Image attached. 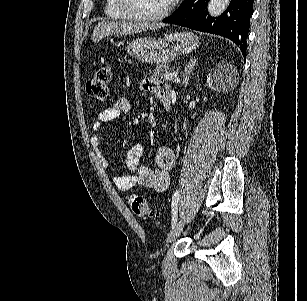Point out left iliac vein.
Here are the masks:
<instances>
[{
  "instance_id": "left-iliac-vein-1",
  "label": "left iliac vein",
  "mask_w": 307,
  "mask_h": 301,
  "mask_svg": "<svg viewBox=\"0 0 307 301\" xmlns=\"http://www.w3.org/2000/svg\"><path fill=\"white\" fill-rule=\"evenodd\" d=\"M187 217H188L187 214L181 216L179 221L175 224V226L169 232L168 238H167V242L169 244L175 242V240L180 236L181 232L183 231V228L185 227Z\"/></svg>"
}]
</instances>
